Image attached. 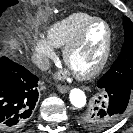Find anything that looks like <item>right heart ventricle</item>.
Instances as JSON below:
<instances>
[{
    "mask_svg": "<svg viewBox=\"0 0 133 133\" xmlns=\"http://www.w3.org/2000/svg\"><path fill=\"white\" fill-rule=\"evenodd\" d=\"M94 16L85 12H74L53 23L46 31L47 41L55 48H64L82 26Z\"/></svg>",
    "mask_w": 133,
    "mask_h": 133,
    "instance_id": "1",
    "label": "right heart ventricle"
}]
</instances>
